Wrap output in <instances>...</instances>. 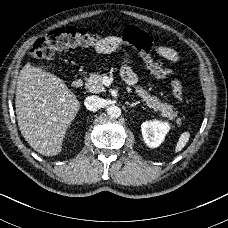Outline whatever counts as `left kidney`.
<instances>
[{
  "label": "left kidney",
  "instance_id": "obj_1",
  "mask_svg": "<svg viewBox=\"0 0 228 228\" xmlns=\"http://www.w3.org/2000/svg\"><path fill=\"white\" fill-rule=\"evenodd\" d=\"M171 125L167 121L153 120L141 124L142 136L150 148L158 147L165 139Z\"/></svg>",
  "mask_w": 228,
  "mask_h": 228
}]
</instances>
